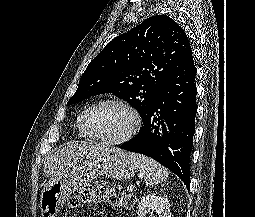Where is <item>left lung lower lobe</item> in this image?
<instances>
[{
    "mask_svg": "<svg viewBox=\"0 0 255 217\" xmlns=\"http://www.w3.org/2000/svg\"><path fill=\"white\" fill-rule=\"evenodd\" d=\"M196 68L192 50L160 85L139 133L119 148L149 156L190 188V153L195 131Z\"/></svg>",
    "mask_w": 255,
    "mask_h": 217,
    "instance_id": "1",
    "label": "left lung lower lobe"
}]
</instances>
